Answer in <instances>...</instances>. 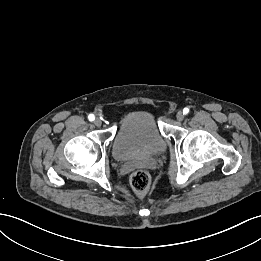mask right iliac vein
<instances>
[{
  "mask_svg": "<svg viewBox=\"0 0 261 261\" xmlns=\"http://www.w3.org/2000/svg\"><path fill=\"white\" fill-rule=\"evenodd\" d=\"M94 125L97 126V127H100L102 125V121L99 118H96L94 120Z\"/></svg>",
  "mask_w": 261,
  "mask_h": 261,
  "instance_id": "right-iliac-vein-1",
  "label": "right iliac vein"
}]
</instances>
